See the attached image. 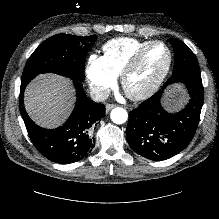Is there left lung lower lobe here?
<instances>
[{"mask_svg": "<svg viewBox=\"0 0 219 219\" xmlns=\"http://www.w3.org/2000/svg\"><path fill=\"white\" fill-rule=\"evenodd\" d=\"M184 83L191 96L189 104L177 113L161 106L164 90L171 84ZM203 105L200 73L187 72L169 80L162 89L129 113L126 137L130 147L151 160H166L181 152L192 140Z\"/></svg>", "mask_w": 219, "mask_h": 219, "instance_id": "1", "label": "left lung lower lobe"}]
</instances>
